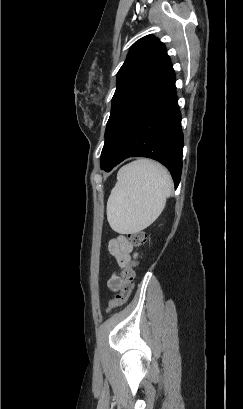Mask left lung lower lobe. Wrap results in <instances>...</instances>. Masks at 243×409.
I'll return each mask as SVG.
<instances>
[{"instance_id": "left-lung-lower-lobe-1", "label": "left lung lower lobe", "mask_w": 243, "mask_h": 409, "mask_svg": "<svg viewBox=\"0 0 243 409\" xmlns=\"http://www.w3.org/2000/svg\"><path fill=\"white\" fill-rule=\"evenodd\" d=\"M117 152L101 168L110 171L128 157H148L162 163L178 187L183 154L181 113L170 59L155 73L116 127Z\"/></svg>"}]
</instances>
